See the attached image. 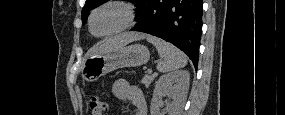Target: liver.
<instances>
[{"label":"liver","mask_w":285,"mask_h":115,"mask_svg":"<svg viewBox=\"0 0 285 115\" xmlns=\"http://www.w3.org/2000/svg\"><path fill=\"white\" fill-rule=\"evenodd\" d=\"M146 37L145 34L141 33H123L120 35H117L113 38H109L107 40H104L101 42L98 46H96L91 54L95 53H107L110 52L116 48L123 47L127 45L130 42L141 40Z\"/></svg>","instance_id":"liver-1"}]
</instances>
